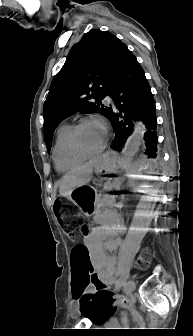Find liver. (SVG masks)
Returning <instances> with one entry per match:
<instances>
[{
	"mask_svg": "<svg viewBox=\"0 0 193 336\" xmlns=\"http://www.w3.org/2000/svg\"><path fill=\"white\" fill-rule=\"evenodd\" d=\"M102 156L96 157L85 164L77 166L65 174L60 180L59 192L64 197H69L71 192L78 187L86 185L92 178L94 167L101 162Z\"/></svg>",
	"mask_w": 193,
	"mask_h": 336,
	"instance_id": "liver-1",
	"label": "liver"
}]
</instances>
